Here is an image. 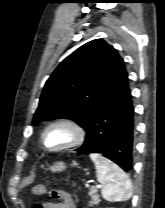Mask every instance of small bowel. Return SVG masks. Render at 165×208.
Returning a JSON list of instances; mask_svg holds the SVG:
<instances>
[{
	"label": "small bowel",
	"mask_w": 165,
	"mask_h": 208,
	"mask_svg": "<svg viewBox=\"0 0 165 208\" xmlns=\"http://www.w3.org/2000/svg\"><path fill=\"white\" fill-rule=\"evenodd\" d=\"M53 196L58 201L42 203L41 208H76L71 196L67 192L58 190L53 192Z\"/></svg>",
	"instance_id": "obj_1"
}]
</instances>
